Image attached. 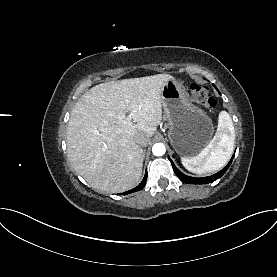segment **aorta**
Masks as SVG:
<instances>
[{"instance_id": "aorta-1", "label": "aorta", "mask_w": 277, "mask_h": 277, "mask_svg": "<svg viewBox=\"0 0 277 277\" xmlns=\"http://www.w3.org/2000/svg\"><path fill=\"white\" fill-rule=\"evenodd\" d=\"M152 152L155 156H162L166 152L165 145L163 143H156L153 145Z\"/></svg>"}]
</instances>
